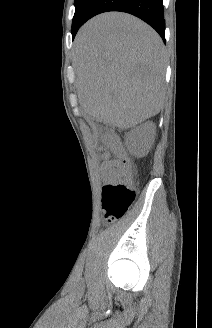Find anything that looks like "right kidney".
I'll list each match as a JSON object with an SVG mask.
<instances>
[{
    "label": "right kidney",
    "instance_id": "obj_1",
    "mask_svg": "<svg viewBox=\"0 0 212 328\" xmlns=\"http://www.w3.org/2000/svg\"><path fill=\"white\" fill-rule=\"evenodd\" d=\"M155 128L152 122H147L131 134V141L135 144L136 152L145 149L149 139L155 134Z\"/></svg>",
    "mask_w": 212,
    "mask_h": 328
}]
</instances>
